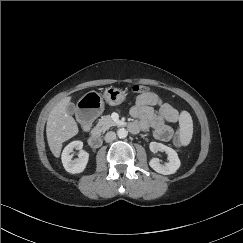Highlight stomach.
Masks as SVG:
<instances>
[{
    "label": "stomach",
    "mask_w": 243,
    "mask_h": 243,
    "mask_svg": "<svg viewBox=\"0 0 243 243\" xmlns=\"http://www.w3.org/2000/svg\"><path fill=\"white\" fill-rule=\"evenodd\" d=\"M126 98V93L115 87H108L101 95L96 91L86 93L78 102L79 109H88L94 112L95 116L104 111V101L111 106L120 105Z\"/></svg>",
    "instance_id": "0dacf381"
}]
</instances>
